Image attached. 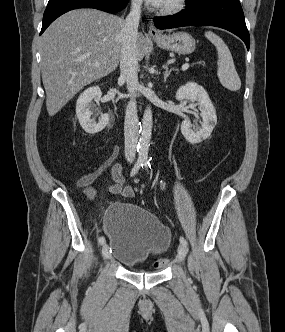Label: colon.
<instances>
[{
    "instance_id": "obj_1",
    "label": "colon",
    "mask_w": 285,
    "mask_h": 332,
    "mask_svg": "<svg viewBox=\"0 0 285 332\" xmlns=\"http://www.w3.org/2000/svg\"><path fill=\"white\" fill-rule=\"evenodd\" d=\"M167 263H168V259L163 258V259L158 260V261L155 263V265L160 267V266L166 265Z\"/></svg>"
}]
</instances>
